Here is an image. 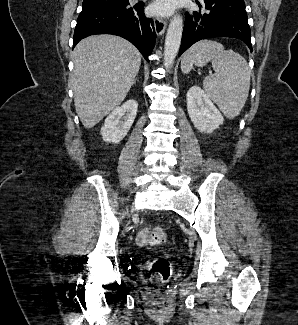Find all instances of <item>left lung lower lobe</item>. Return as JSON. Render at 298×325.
<instances>
[{"mask_svg":"<svg viewBox=\"0 0 298 325\" xmlns=\"http://www.w3.org/2000/svg\"><path fill=\"white\" fill-rule=\"evenodd\" d=\"M196 3L201 7L198 0ZM205 12L186 14L179 56L195 42L212 37L244 41L252 52L244 0H204Z\"/></svg>","mask_w":298,"mask_h":325,"instance_id":"left-lung-lower-lobe-1","label":"left lung lower lobe"}]
</instances>
